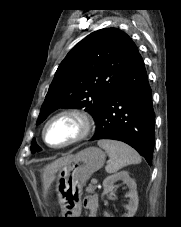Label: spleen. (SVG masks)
Instances as JSON below:
<instances>
[{"mask_svg":"<svg viewBox=\"0 0 181 227\" xmlns=\"http://www.w3.org/2000/svg\"><path fill=\"white\" fill-rule=\"evenodd\" d=\"M98 145L107 152L110 158V162L105 167L108 173H115L127 165L141 162V156L123 142L103 139L98 141Z\"/></svg>","mask_w":181,"mask_h":227,"instance_id":"1","label":"spleen"}]
</instances>
